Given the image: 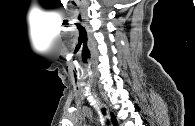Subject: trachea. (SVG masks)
<instances>
[{"label": "trachea", "instance_id": "3493384b", "mask_svg": "<svg viewBox=\"0 0 195 126\" xmlns=\"http://www.w3.org/2000/svg\"><path fill=\"white\" fill-rule=\"evenodd\" d=\"M102 112H103V114H105V110L104 109H102ZM108 123V122H107Z\"/></svg>", "mask_w": 195, "mask_h": 126}]
</instances>
